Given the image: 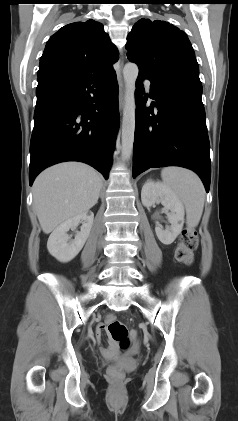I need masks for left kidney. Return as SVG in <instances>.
<instances>
[{"label":"left kidney","mask_w":238,"mask_h":421,"mask_svg":"<svg viewBox=\"0 0 238 421\" xmlns=\"http://www.w3.org/2000/svg\"><path fill=\"white\" fill-rule=\"evenodd\" d=\"M142 204L145 207L152 206L155 202H161L166 210L170 226L163 229L161 226L155 227L158 239L164 245H170L181 233L184 224V207L178 197L160 182H146L141 191Z\"/></svg>","instance_id":"5707ae66"}]
</instances>
